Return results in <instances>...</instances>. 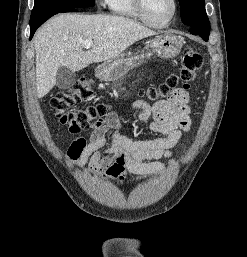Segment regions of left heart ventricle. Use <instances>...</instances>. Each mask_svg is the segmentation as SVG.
<instances>
[{
    "mask_svg": "<svg viewBox=\"0 0 247 257\" xmlns=\"http://www.w3.org/2000/svg\"><path fill=\"white\" fill-rule=\"evenodd\" d=\"M148 16L156 23L166 22L173 12L172 0H144Z\"/></svg>",
    "mask_w": 247,
    "mask_h": 257,
    "instance_id": "left-heart-ventricle-1",
    "label": "left heart ventricle"
}]
</instances>
